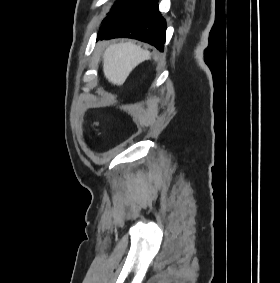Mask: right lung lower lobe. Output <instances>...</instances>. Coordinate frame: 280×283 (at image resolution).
<instances>
[{
  "mask_svg": "<svg viewBox=\"0 0 280 283\" xmlns=\"http://www.w3.org/2000/svg\"><path fill=\"white\" fill-rule=\"evenodd\" d=\"M128 37L155 46L160 51L166 39V22L158 10L157 0H142L119 13L100 28L99 39Z\"/></svg>",
  "mask_w": 280,
  "mask_h": 283,
  "instance_id": "right-lung-lower-lobe-1",
  "label": "right lung lower lobe"
}]
</instances>
